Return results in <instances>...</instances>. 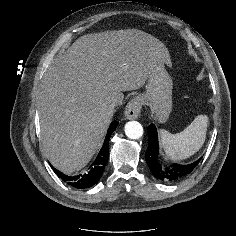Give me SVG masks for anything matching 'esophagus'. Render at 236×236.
<instances>
[{
	"label": "esophagus",
	"instance_id": "34e87169",
	"mask_svg": "<svg viewBox=\"0 0 236 236\" xmlns=\"http://www.w3.org/2000/svg\"><path fill=\"white\" fill-rule=\"evenodd\" d=\"M142 100L140 97H135L125 107L124 116L128 120L136 119L141 113Z\"/></svg>",
	"mask_w": 236,
	"mask_h": 236
}]
</instances>
